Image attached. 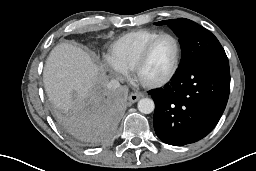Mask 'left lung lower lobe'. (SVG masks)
I'll list each match as a JSON object with an SVG mask.
<instances>
[{"label":"left lung lower lobe","mask_w":256,"mask_h":171,"mask_svg":"<svg viewBox=\"0 0 256 171\" xmlns=\"http://www.w3.org/2000/svg\"><path fill=\"white\" fill-rule=\"evenodd\" d=\"M229 90L227 56L204 58L179 68L169 84L149 91L155 102L157 136L174 146L202 139L223 114Z\"/></svg>","instance_id":"left-lung-lower-lobe-1"}]
</instances>
